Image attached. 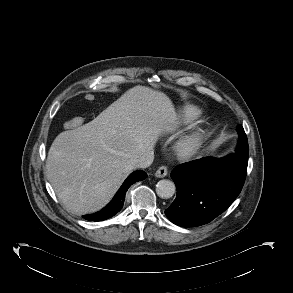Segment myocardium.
Here are the masks:
<instances>
[{
  "instance_id": "obj_1",
  "label": "myocardium",
  "mask_w": 293,
  "mask_h": 293,
  "mask_svg": "<svg viewBox=\"0 0 293 293\" xmlns=\"http://www.w3.org/2000/svg\"><path fill=\"white\" fill-rule=\"evenodd\" d=\"M203 141V131L196 129L183 136L175 145L176 154L183 159L192 157L197 153Z\"/></svg>"
}]
</instances>
